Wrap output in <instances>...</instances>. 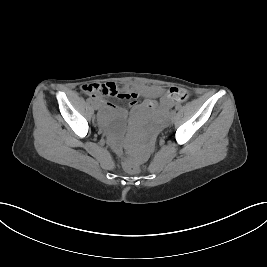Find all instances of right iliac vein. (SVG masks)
<instances>
[{
    "mask_svg": "<svg viewBox=\"0 0 267 267\" xmlns=\"http://www.w3.org/2000/svg\"><path fill=\"white\" fill-rule=\"evenodd\" d=\"M93 108L95 109V110H98L99 109V105L97 104V103H93Z\"/></svg>",
    "mask_w": 267,
    "mask_h": 267,
    "instance_id": "right-iliac-vein-1",
    "label": "right iliac vein"
}]
</instances>
